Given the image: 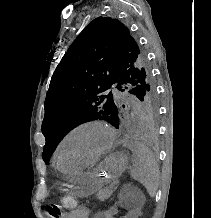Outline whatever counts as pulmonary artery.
I'll return each instance as SVG.
<instances>
[{
	"label": "pulmonary artery",
	"mask_w": 211,
	"mask_h": 218,
	"mask_svg": "<svg viewBox=\"0 0 211 218\" xmlns=\"http://www.w3.org/2000/svg\"><path fill=\"white\" fill-rule=\"evenodd\" d=\"M107 88L109 89L108 94L109 95H120V87L117 84H108Z\"/></svg>",
	"instance_id": "obj_1"
}]
</instances>
